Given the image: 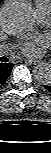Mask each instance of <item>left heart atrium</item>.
<instances>
[{
  "instance_id": "1",
  "label": "left heart atrium",
  "mask_w": 51,
  "mask_h": 153,
  "mask_svg": "<svg viewBox=\"0 0 51 153\" xmlns=\"http://www.w3.org/2000/svg\"><path fill=\"white\" fill-rule=\"evenodd\" d=\"M44 43V39L42 37H38L33 41L25 42L21 45V50L24 54L28 56H34L38 53V45Z\"/></svg>"
}]
</instances>
